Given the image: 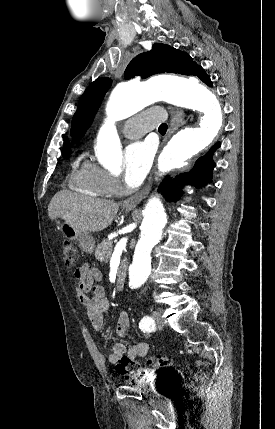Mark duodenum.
Instances as JSON below:
<instances>
[{"label": "duodenum", "instance_id": "1", "mask_svg": "<svg viewBox=\"0 0 275 429\" xmlns=\"http://www.w3.org/2000/svg\"><path fill=\"white\" fill-rule=\"evenodd\" d=\"M125 279H126V275H125V270L121 269L117 275V279H116V289L117 290H122L125 286Z\"/></svg>", "mask_w": 275, "mask_h": 429}]
</instances>
